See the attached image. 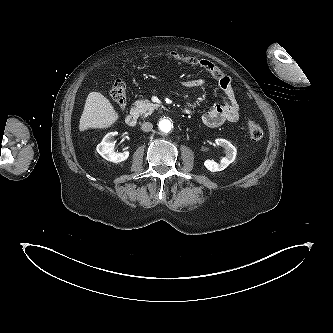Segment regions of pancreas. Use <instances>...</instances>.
<instances>
[{"label":"pancreas","mask_w":333,"mask_h":333,"mask_svg":"<svg viewBox=\"0 0 333 333\" xmlns=\"http://www.w3.org/2000/svg\"><path fill=\"white\" fill-rule=\"evenodd\" d=\"M136 111L143 118H146L148 115L152 114V112L158 107L157 104H153L148 100H137L135 102Z\"/></svg>","instance_id":"1"}]
</instances>
